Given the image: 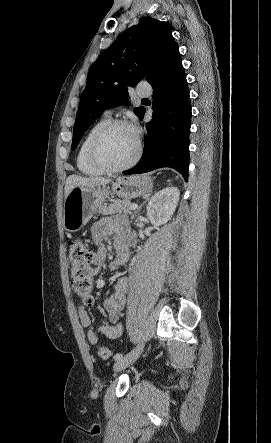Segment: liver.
Segmentation results:
<instances>
[{
	"label": "liver",
	"instance_id": "6515ba94",
	"mask_svg": "<svg viewBox=\"0 0 271 443\" xmlns=\"http://www.w3.org/2000/svg\"><path fill=\"white\" fill-rule=\"evenodd\" d=\"M111 180H104V178H80V176H68L65 184V200L69 192L75 186H85V188H95V186H105L110 184Z\"/></svg>",
	"mask_w": 271,
	"mask_h": 443
}]
</instances>
